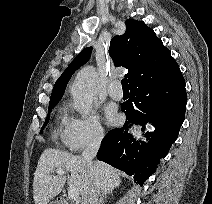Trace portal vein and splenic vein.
<instances>
[{"label": "portal vein and splenic vein", "instance_id": "obj_1", "mask_svg": "<svg viewBox=\"0 0 212 204\" xmlns=\"http://www.w3.org/2000/svg\"><path fill=\"white\" fill-rule=\"evenodd\" d=\"M57 174L64 175L65 171L63 169H56ZM68 197L72 200H76L79 198V191L76 188L68 189Z\"/></svg>", "mask_w": 212, "mask_h": 204}]
</instances>
